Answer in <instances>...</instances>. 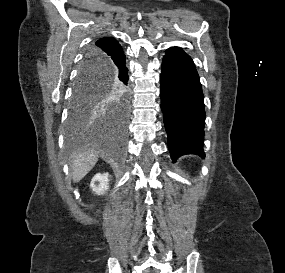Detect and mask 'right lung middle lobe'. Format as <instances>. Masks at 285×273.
Wrapping results in <instances>:
<instances>
[{
    "label": "right lung middle lobe",
    "mask_w": 285,
    "mask_h": 273,
    "mask_svg": "<svg viewBox=\"0 0 285 273\" xmlns=\"http://www.w3.org/2000/svg\"><path fill=\"white\" fill-rule=\"evenodd\" d=\"M99 57L90 49L76 78L71 101L69 126L77 128L91 108L109 95L124 96L126 90L112 77L106 63L95 64Z\"/></svg>",
    "instance_id": "right-lung-middle-lobe-1"
}]
</instances>
